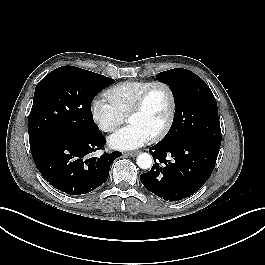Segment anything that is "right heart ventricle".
<instances>
[{
    "label": "right heart ventricle",
    "instance_id": "e07e8e85",
    "mask_svg": "<svg viewBox=\"0 0 265 265\" xmlns=\"http://www.w3.org/2000/svg\"><path fill=\"white\" fill-rule=\"evenodd\" d=\"M151 83L149 80L124 81L107 89L105 97L118 112L127 116L140 93Z\"/></svg>",
    "mask_w": 265,
    "mask_h": 265
}]
</instances>
